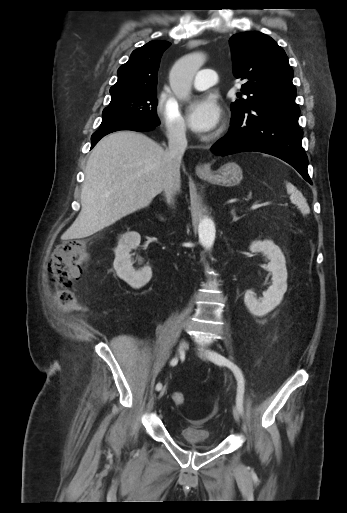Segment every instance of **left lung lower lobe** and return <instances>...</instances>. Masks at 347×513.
<instances>
[{
    "instance_id": "obj_1",
    "label": "left lung lower lobe",
    "mask_w": 347,
    "mask_h": 513,
    "mask_svg": "<svg viewBox=\"0 0 347 513\" xmlns=\"http://www.w3.org/2000/svg\"><path fill=\"white\" fill-rule=\"evenodd\" d=\"M299 114L296 103L286 102L262 103L232 114L229 132L212 146V151L219 156L244 151L270 154L289 163L312 184L301 144Z\"/></svg>"
}]
</instances>
